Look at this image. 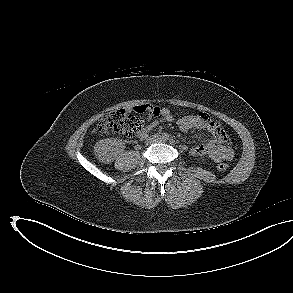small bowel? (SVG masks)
I'll return each instance as SVG.
<instances>
[{
	"label": "small bowel",
	"mask_w": 293,
	"mask_h": 293,
	"mask_svg": "<svg viewBox=\"0 0 293 293\" xmlns=\"http://www.w3.org/2000/svg\"><path fill=\"white\" fill-rule=\"evenodd\" d=\"M134 110L137 113H146L149 119H154L137 133L139 139L145 138L161 122H171L174 120L173 114L167 108L139 105ZM177 124L182 132H188L192 129H207L213 135V138L208 142L191 148L190 154L192 156H208L215 162L231 160L233 158L234 152L223 127L220 123L211 119L208 114L187 115L180 118Z\"/></svg>",
	"instance_id": "c3829d8e"
}]
</instances>
